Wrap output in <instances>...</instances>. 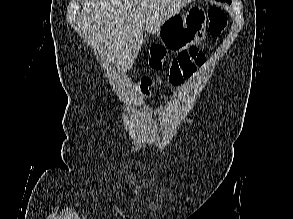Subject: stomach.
<instances>
[{"label": "stomach", "mask_w": 293, "mask_h": 219, "mask_svg": "<svg viewBox=\"0 0 293 219\" xmlns=\"http://www.w3.org/2000/svg\"><path fill=\"white\" fill-rule=\"evenodd\" d=\"M207 15L201 7H190L184 16L174 15L156 31L160 42L173 51H182L205 36Z\"/></svg>", "instance_id": "obj_1"}]
</instances>
